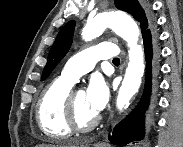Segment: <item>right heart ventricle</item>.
<instances>
[{"instance_id": "1", "label": "right heart ventricle", "mask_w": 183, "mask_h": 147, "mask_svg": "<svg viewBox=\"0 0 183 147\" xmlns=\"http://www.w3.org/2000/svg\"><path fill=\"white\" fill-rule=\"evenodd\" d=\"M73 82L58 77L43 90L36 108L41 131L51 139H64L72 134L66 118V101Z\"/></svg>"}]
</instances>
